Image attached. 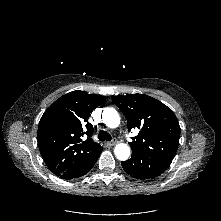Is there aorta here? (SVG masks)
Masks as SVG:
<instances>
[{
  "mask_svg": "<svg viewBox=\"0 0 221 221\" xmlns=\"http://www.w3.org/2000/svg\"><path fill=\"white\" fill-rule=\"evenodd\" d=\"M102 119L106 126L109 128H116L120 124V116L114 108H104ZM114 153L117 159L125 161L130 156V148L124 143H119L114 148Z\"/></svg>",
  "mask_w": 221,
  "mask_h": 221,
  "instance_id": "aorta-1",
  "label": "aorta"
}]
</instances>
